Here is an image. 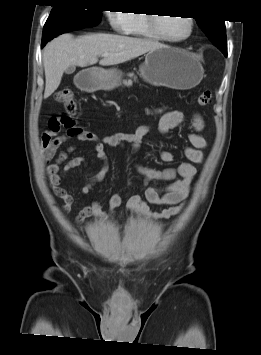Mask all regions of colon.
Returning a JSON list of instances; mask_svg holds the SVG:
<instances>
[{
    "label": "colon",
    "mask_w": 261,
    "mask_h": 355,
    "mask_svg": "<svg viewBox=\"0 0 261 355\" xmlns=\"http://www.w3.org/2000/svg\"><path fill=\"white\" fill-rule=\"evenodd\" d=\"M55 100L62 104L66 113L72 117L76 114L77 112V106L73 98V92L70 88H62L58 91L55 92L54 94ZM212 100V94L209 90H205L201 92L197 98H196V103L200 106H207L211 103ZM62 122L67 121V122H72L73 120L71 118H59ZM57 118H53L48 122V127L52 130H58L60 129L61 122Z\"/></svg>",
    "instance_id": "5ec220e1"
}]
</instances>
